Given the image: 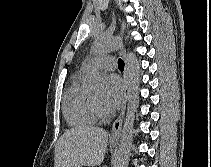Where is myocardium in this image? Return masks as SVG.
Returning a JSON list of instances; mask_svg holds the SVG:
<instances>
[{"label": "myocardium", "instance_id": "myocardium-1", "mask_svg": "<svg viewBox=\"0 0 211 167\" xmlns=\"http://www.w3.org/2000/svg\"><path fill=\"white\" fill-rule=\"evenodd\" d=\"M89 102H90L91 109L96 117H99V118L106 117V113L97 105V103L95 102L91 94L89 95Z\"/></svg>", "mask_w": 211, "mask_h": 167}]
</instances>
